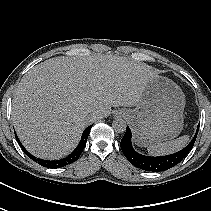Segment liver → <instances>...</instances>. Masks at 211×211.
<instances>
[{
    "label": "liver",
    "instance_id": "1",
    "mask_svg": "<svg viewBox=\"0 0 211 211\" xmlns=\"http://www.w3.org/2000/svg\"><path fill=\"white\" fill-rule=\"evenodd\" d=\"M156 76L152 67L120 56L46 60L22 77L15 92L17 135L34 156L62 158L85 127L108 116L111 107L136 106Z\"/></svg>",
    "mask_w": 211,
    "mask_h": 211
}]
</instances>
